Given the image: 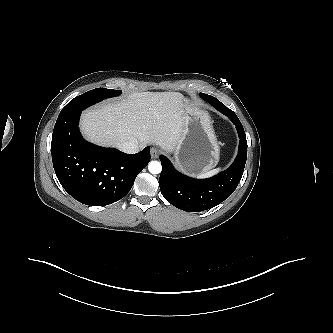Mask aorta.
Returning <instances> with one entry per match:
<instances>
[{
  "instance_id": "obj_1",
  "label": "aorta",
  "mask_w": 333,
  "mask_h": 333,
  "mask_svg": "<svg viewBox=\"0 0 333 333\" xmlns=\"http://www.w3.org/2000/svg\"><path fill=\"white\" fill-rule=\"evenodd\" d=\"M148 170L151 174H159L162 170L161 163L158 161H151L148 164Z\"/></svg>"
}]
</instances>
